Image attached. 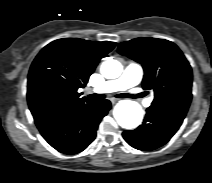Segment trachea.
<instances>
[{"label": "trachea", "mask_w": 212, "mask_h": 183, "mask_svg": "<svg viewBox=\"0 0 212 183\" xmlns=\"http://www.w3.org/2000/svg\"><path fill=\"white\" fill-rule=\"evenodd\" d=\"M89 97L93 100H103L105 98V95L103 94H91L89 95ZM117 98H137V97H141L140 95H131V94H118L116 95Z\"/></svg>", "instance_id": "obj_1"}]
</instances>
